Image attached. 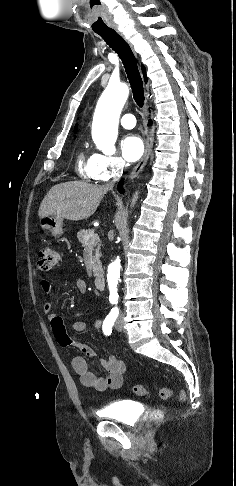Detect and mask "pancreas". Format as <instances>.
Listing matches in <instances>:
<instances>
[{
    "mask_svg": "<svg viewBox=\"0 0 236 486\" xmlns=\"http://www.w3.org/2000/svg\"><path fill=\"white\" fill-rule=\"evenodd\" d=\"M77 238L79 242L82 244L84 248L88 247H96L97 246V238L94 234L93 230H81L77 234ZM87 238H89L87 240ZM100 245H98L95 249V256L93 257V274L97 276L98 273L102 271L101 261H100Z\"/></svg>",
    "mask_w": 236,
    "mask_h": 486,
    "instance_id": "pancreas-1",
    "label": "pancreas"
}]
</instances>
